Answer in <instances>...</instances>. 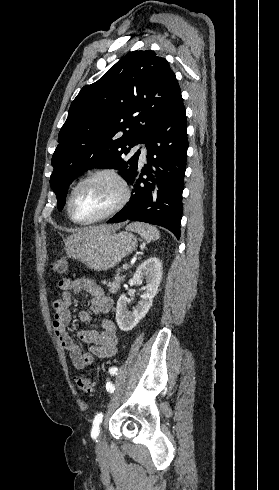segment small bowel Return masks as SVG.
<instances>
[{"label":"small bowel","instance_id":"c3829d8e","mask_svg":"<svg viewBox=\"0 0 279 490\" xmlns=\"http://www.w3.org/2000/svg\"><path fill=\"white\" fill-rule=\"evenodd\" d=\"M58 287L61 290L60 297L52 303V330L61 346L67 351L73 366L80 370L93 362V357L109 358L113 356L118 346L117 330L114 322L103 317L100 328L81 329L77 335L79 339L91 346L90 352H83L67 330V324L71 320L70 305L73 293H86L91 297L89 310L78 313V319L82 323H89L92 315H105L112 306L113 301L103 289L93 280L78 278L71 280L63 278L59 280Z\"/></svg>","mask_w":279,"mask_h":490}]
</instances>
